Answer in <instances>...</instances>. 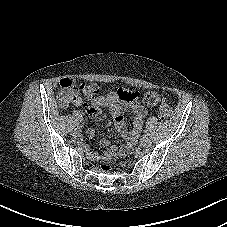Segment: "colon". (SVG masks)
Returning <instances> with one entry per match:
<instances>
[{
    "label": "colon",
    "mask_w": 227,
    "mask_h": 227,
    "mask_svg": "<svg viewBox=\"0 0 227 227\" xmlns=\"http://www.w3.org/2000/svg\"><path fill=\"white\" fill-rule=\"evenodd\" d=\"M100 91V86L95 83L78 84L73 78H64L59 82L58 101L62 108L68 107L79 98L82 94L85 99L94 98ZM142 100L149 106L160 104L159 115L162 119H168L171 116V107L163 101L162 97L153 91L143 94ZM102 171H111L112 168L105 163L100 164Z\"/></svg>",
    "instance_id": "obj_1"
}]
</instances>
